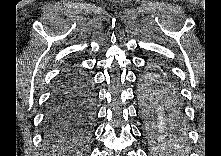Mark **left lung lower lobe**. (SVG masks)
I'll list each match as a JSON object with an SVG mask.
<instances>
[{
  "label": "left lung lower lobe",
  "instance_id": "obj_1",
  "mask_svg": "<svg viewBox=\"0 0 221 156\" xmlns=\"http://www.w3.org/2000/svg\"><path fill=\"white\" fill-rule=\"evenodd\" d=\"M139 113L148 138H167L185 131L183 98L171 72L151 64L139 75Z\"/></svg>",
  "mask_w": 221,
  "mask_h": 156
}]
</instances>
